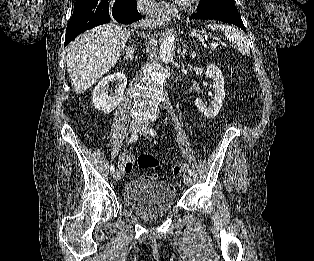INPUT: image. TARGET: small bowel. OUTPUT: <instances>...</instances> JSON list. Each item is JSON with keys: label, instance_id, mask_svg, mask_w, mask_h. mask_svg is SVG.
Returning <instances> with one entry per match:
<instances>
[{"label": "small bowel", "instance_id": "1", "mask_svg": "<svg viewBox=\"0 0 314 261\" xmlns=\"http://www.w3.org/2000/svg\"><path fill=\"white\" fill-rule=\"evenodd\" d=\"M133 156L125 155L121 159V168L123 173H129L132 170Z\"/></svg>", "mask_w": 314, "mask_h": 261}]
</instances>
